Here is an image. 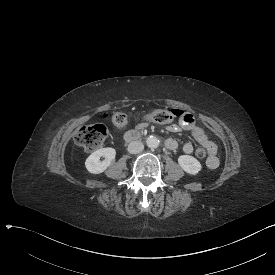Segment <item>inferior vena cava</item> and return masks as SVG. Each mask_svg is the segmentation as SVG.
<instances>
[{"label": "inferior vena cava", "mask_w": 275, "mask_h": 275, "mask_svg": "<svg viewBox=\"0 0 275 275\" xmlns=\"http://www.w3.org/2000/svg\"><path fill=\"white\" fill-rule=\"evenodd\" d=\"M144 149V145L141 141H133L128 145V152L131 154H137Z\"/></svg>", "instance_id": "obj_1"}]
</instances>
